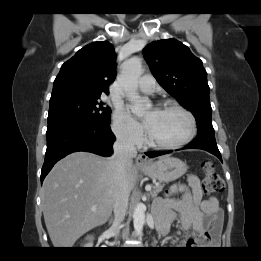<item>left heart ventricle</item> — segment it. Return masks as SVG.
I'll use <instances>...</instances> for the list:
<instances>
[{"mask_svg": "<svg viewBox=\"0 0 261 261\" xmlns=\"http://www.w3.org/2000/svg\"><path fill=\"white\" fill-rule=\"evenodd\" d=\"M188 129V120L179 111L159 110L148 133L157 142L172 143L183 138Z\"/></svg>", "mask_w": 261, "mask_h": 261, "instance_id": "b2bd125f", "label": "left heart ventricle"}]
</instances>
